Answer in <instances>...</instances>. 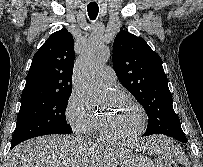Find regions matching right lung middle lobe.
I'll return each mask as SVG.
<instances>
[{
    "label": "right lung middle lobe",
    "mask_w": 203,
    "mask_h": 167,
    "mask_svg": "<svg viewBox=\"0 0 203 167\" xmlns=\"http://www.w3.org/2000/svg\"><path fill=\"white\" fill-rule=\"evenodd\" d=\"M71 94L49 95L21 101L12 146L47 134H70L65 111Z\"/></svg>",
    "instance_id": "1"
}]
</instances>
